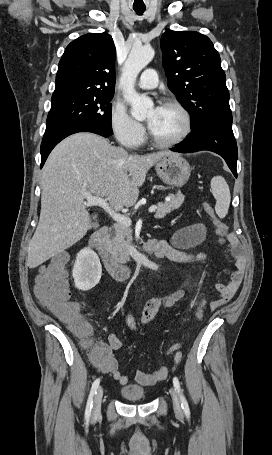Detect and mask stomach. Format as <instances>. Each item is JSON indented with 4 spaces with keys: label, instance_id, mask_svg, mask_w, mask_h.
<instances>
[{
    "label": "stomach",
    "instance_id": "1",
    "mask_svg": "<svg viewBox=\"0 0 272 455\" xmlns=\"http://www.w3.org/2000/svg\"><path fill=\"white\" fill-rule=\"evenodd\" d=\"M157 175L168 185L182 187L191 173L189 163L180 155H166L155 163Z\"/></svg>",
    "mask_w": 272,
    "mask_h": 455
}]
</instances>
